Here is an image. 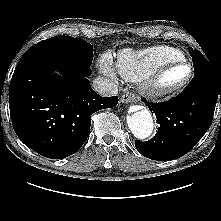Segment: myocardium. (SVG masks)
Here are the masks:
<instances>
[{"label":"myocardium","mask_w":221,"mask_h":221,"mask_svg":"<svg viewBox=\"0 0 221 221\" xmlns=\"http://www.w3.org/2000/svg\"><path fill=\"white\" fill-rule=\"evenodd\" d=\"M180 66H187L189 68L188 77L183 82L177 85L173 86L163 85L162 79L165 76V74ZM193 76H194V68L190 62L186 60L175 61L160 67L150 77L145 79V81L141 86V89L143 93L150 99L154 100L166 99L185 89L192 81Z\"/></svg>","instance_id":"myocardium-1"}]
</instances>
